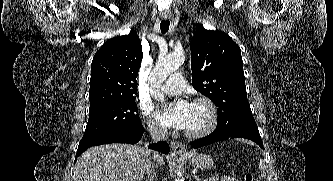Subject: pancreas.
Here are the masks:
<instances>
[{"mask_svg": "<svg viewBox=\"0 0 333 181\" xmlns=\"http://www.w3.org/2000/svg\"><path fill=\"white\" fill-rule=\"evenodd\" d=\"M220 181H236L233 177L223 176Z\"/></svg>", "mask_w": 333, "mask_h": 181, "instance_id": "cf45deb5", "label": "pancreas"}]
</instances>
